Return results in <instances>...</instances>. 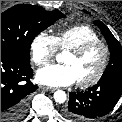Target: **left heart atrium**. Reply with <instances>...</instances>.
Masks as SVG:
<instances>
[{"instance_id":"1","label":"left heart atrium","mask_w":122,"mask_h":122,"mask_svg":"<svg viewBox=\"0 0 122 122\" xmlns=\"http://www.w3.org/2000/svg\"><path fill=\"white\" fill-rule=\"evenodd\" d=\"M37 80L46 86H69L75 83L76 76L71 66L67 64H49L39 69Z\"/></svg>"}]
</instances>
